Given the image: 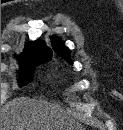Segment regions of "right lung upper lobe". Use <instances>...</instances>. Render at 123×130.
I'll list each match as a JSON object with an SVG mask.
<instances>
[{
  "label": "right lung upper lobe",
  "instance_id": "cb5924a9",
  "mask_svg": "<svg viewBox=\"0 0 123 130\" xmlns=\"http://www.w3.org/2000/svg\"><path fill=\"white\" fill-rule=\"evenodd\" d=\"M51 55V50L43 41L30 42L24 49L21 57L27 56H47Z\"/></svg>",
  "mask_w": 123,
  "mask_h": 130
}]
</instances>
